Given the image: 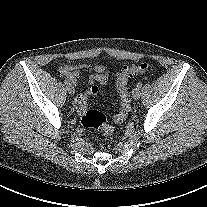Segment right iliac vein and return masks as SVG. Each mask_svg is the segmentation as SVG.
I'll use <instances>...</instances> for the list:
<instances>
[{"mask_svg": "<svg viewBox=\"0 0 207 207\" xmlns=\"http://www.w3.org/2000/svg\"><path fill=\"white\" fill-rule=\"evenodd\" d=\"M67 92L72 95L75 93V88L71 84H69L67 85Z\"/></svg>", "mask_w": 207, "mask_h": 207, "instance_id": "right-iliac-vein-1", "label": "right iliac vein"}]
</instances>
